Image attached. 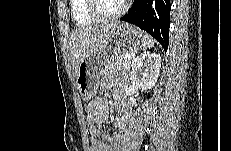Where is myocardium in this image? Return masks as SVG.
<instances>
[{
  "mask_svg": "<svg viewBox=\"0 0 231 151\" xmlns=\"http://www.w3.org/2000/svg\"><path fill=\"white\" fill-rule=\"evenodd\" d=\"M129 1H124L121 8L114 14L102 15L97 9V0H87V11L89 15L99 22H109L121 18L128 10Z\"/></svg>",
  "mask_w": 231,
  "mask_h": 151,
  "instance_id": "obj_1",
  "label": "myocardium"
}]
</instances>
